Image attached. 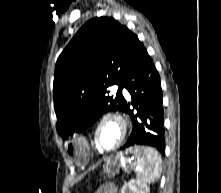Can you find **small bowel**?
<instances>
[{
	"label": "small bowel",
	"instance_id": "small-bowel-1",
	"mask_svg": "<svg viewBox=\"0 0 221 193\" xmlns=\"http://www.w3.org/2000/svg\"><path fill=\"white\" fill-rule=\"evenodd\" d=\"M95 193H117V189L112 184H107L98 189Z\"/></svg>",
	"mask_w": 221,
	"mask_h": 193
}]
</instances>
